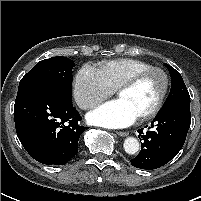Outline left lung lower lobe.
Here are the masks:
<instances>
[{
	"mask_svg": "<svg viewBox=\"0 0 201 201\" xmlns=\"http://www.w3.org/2000/svg\"><path fill=\"white\" fill-rule=\"evenodd\" d=\"M190 123V97L165 102L150 130H138L143 142L139 155L130 160L132 166L152 170L168 163L183 147Z\"/></svg>",
	"mask_w": 201,
	"mask_h": 201,
	"instance_id": "obj_1",
	"label": "left lung lower lobe"
}]
</instances>
